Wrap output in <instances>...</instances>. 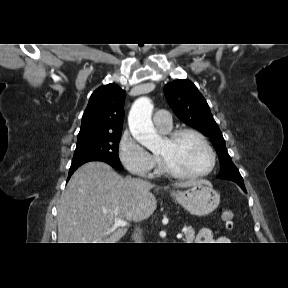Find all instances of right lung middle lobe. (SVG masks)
<instances>
[{
	"label": "right lung middle lobe",
	"instance_id": "obj_1",
	"mask_svg": "<svg viewBox=\"0 0 288 288\" xmlns=\"http://www.w3.org/2000/svg\"><path fill=\"white\" fill-rule=\"evenodd\" d=\"M120 136L121 132L78 140L71 166L89 161H104L122 170L118 157Z\"/></svg>",
	"mask_w": 288,
	"mask_h": 288
}]
</instances>
